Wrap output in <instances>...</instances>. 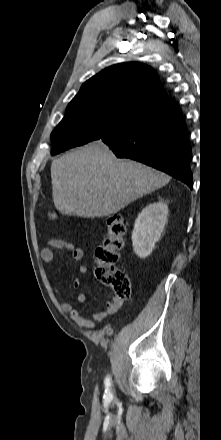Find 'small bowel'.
<instances>
[{"instance_id": "1", "label": "small bowel", "mask_w": 221, "mask_h": 440, "mask_svg": "<svg viewBox=\"0 0 221 440\" xmlns=\"http://www.w3.org/2000/svg\"><path fill=\"white\" fill-rule=\"evenodd\" d=\"M53 249L68 251L72 258L77 261L83 258V251L80 248L75 247L69 241L63 239H51L47 242V246L40 251V257L47 265H51L54 262ZM79 272L82 275L87 274L88 267L81 265L79 267ZM81 285V278H75L73 281V287L80 288ZM86 299L85 293H79L77 295V302L79 304H84ZM122 304L123 299L113 296L106 301V308L104 310L92 313L90 318L82 316L81 313L70 302H62L61 309L65 312H68L80 326L87 329H93L96 326L95 322L103 321L108 316L114 315L118 312Z\"/></svg>"}]
</instances>
